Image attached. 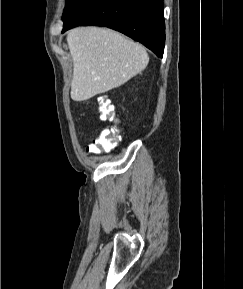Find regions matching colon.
<instances>
[{
  "label": "colon",
  "mask_w": 243,
  "mask_h": 289,
  "mask_svg": "<svg viewBox=\"0 0 243 289\" xmlns=\"http://www.w3.org/2000/svg\"><path fill=\"white\" fill-rule=\"evenodd\" d=\"M98 113L101 120L116 121L114 106L104 96L98 98ZM122 129L117 125L104 128L88 146L91 153H100L115 148Z\"/></svg>",
  "instance_id": "obj_1"
}]
</instances>
